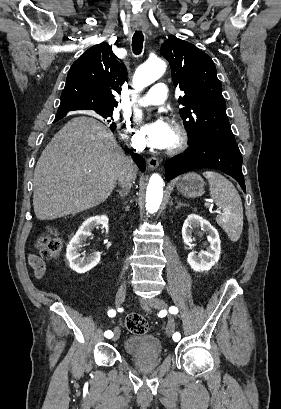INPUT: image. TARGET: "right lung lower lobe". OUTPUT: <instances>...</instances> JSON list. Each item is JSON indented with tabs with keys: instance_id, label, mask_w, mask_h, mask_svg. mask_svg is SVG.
Segmentation results:
<instances>
[{
	"instance_id": "1",
	"label": "right lung lower lobe",
	"mask_w": 281,
	"mask_h": 409,
	"mask_svg": "<svg viewBox=\"0 0 281 409\" xmlns=\"http://www.w3.org/2000/svg\"><path fill=\"white\" fill-rule=\"evenodd\" d=\"M67 113H61V114H57L55 117L54 122L60 120L61 118H63L64 116H66ZM134 160L136 161L138 167L141 169V171L145 170V161L142 157H140L137 154H134L133 156Z\"/></svg>"
}]
</instances>
